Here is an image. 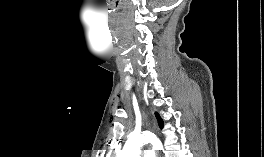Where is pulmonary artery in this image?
<instances>
[{
    "label": "pulmonary artery",
    "mask_w": 264,
    "mask_h": 157,
    "mask_svg": "<svg viewBox=\"0 0 264 157\" xmlns=\"http://www.w3.org/2000/svg\"><path fill=\"white\" fill-rule=\"evenodd\" d=\"M143 157H155L153 151L147 150L144 152Z\"/></svg>",
    "instance_id": "e3ab8cb5"
}]
</instances>
